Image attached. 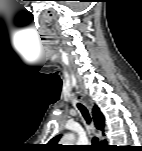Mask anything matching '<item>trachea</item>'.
<instances>
[{
	"label": "trachea",
	"instance_id": "trachea-1",
	"mask_svg": "<svg viewBox=\"0 0 142 151\" xmlns=\"http://www.w3.org/2000/svg\"><path fill=\"white\" fill-rule=\"evenodd\" d=\"M77 107H78V109L80 110V112L82 113L83 117L85 118L87 124H90L91 118H90L89 112H88V110L86 109V107L83 106V105L80 104V103L77 104ZM97 141H98L97 138H96V137H93V139H92L93 144H97Z\"/></svg>",
	"mask_w": 142,
	"mask_h": 151
}]
</instances>
